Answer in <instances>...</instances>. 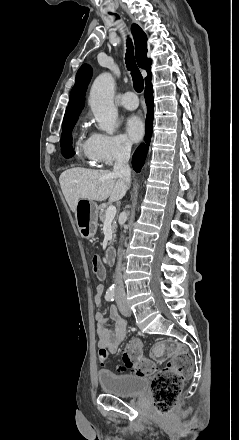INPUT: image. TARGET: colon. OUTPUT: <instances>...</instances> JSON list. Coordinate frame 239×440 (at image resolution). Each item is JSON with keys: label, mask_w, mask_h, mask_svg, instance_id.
Here are the masks:
<instances>
[{"label": "colon", "mask_w": 239, "mask_h": 440, "mask_svg": "<svg viewBox=\"0 0 239 440\" xmlns=\"http://www.w3.org/2000/svg\"><path fill=\"white\" fill-rule=\"evenodd\" d=\"M91 265L94 276L104 279L105 271L99 257L94 256ZM153 353L155 360L165 362V366L158 371L154 362L143 356L140 340L133 339L123 351L124 366L117 367V371L121 373L128 368L137 375L154 374L151 389L153 405L158 413L166 414L175 406L184 381L192 373L193 362L188 351L174 341L159 342ZM99 360L102 364L108 362L107 351H99Z\"/></svg>", "instance_id": "5ec220e1"}]
</instances>
